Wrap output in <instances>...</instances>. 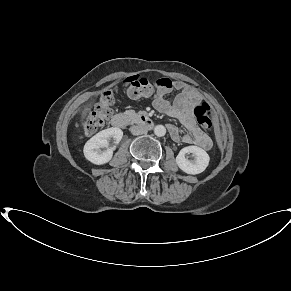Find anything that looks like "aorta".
I'll use <instances>...</instances> for the list:
<instances>
[{
  "label": "aorta",
  "instance_id": "762f6f07",
  "mask_svg": "<svg viewBox=\"0 0 291 291\" xmlns=\"http://www.w3.org/2000/svg\"><path fill=\"white\" fill-rule=\"evenodd\" d=\"M154 133L158 137H162L166 134V128L163 125H157L154 128Z\"/></svg>",
  "mask_w": 291,
  "mask_h": 291
}]
</instances>
